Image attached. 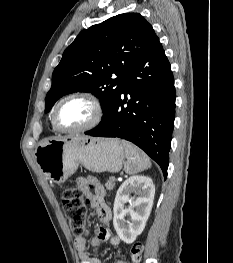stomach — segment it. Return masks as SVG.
Returning a JSON list of instances; mask_svg holds the SVG:
<instances>
[{"label": "stomach", "mask_w": 233, "mask_h": 263, "mask_svg": "<svg viewBox=\"0 0 233 263\" xmlns=\"http://www.w3.org/2000/svg\"><path fill=\"white\" fill-rule=\"evenodd\" d=\"M126 158L123 142L116 138L65 136L41 143L35 160L54 183L65 182L79 164L92 172H119Z\"/></svg>", "instance_id": "1"}]
</instances>
